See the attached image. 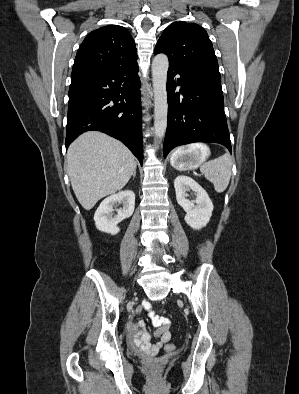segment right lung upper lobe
I'll return each instance as SVG.
<instances>
[{"label":"right lung upper lobe","mask_w":299,"mask_h":394,"mask_svg":"<svg viewBox=\"0 0 299 394\" xmlns=\"http://www.w3.org/2000/svg\"><path fill=\"white\" fill-rule=\"evenodd\" d=\"M137 50L122 26L108 25L92 31L77 52L72 77L137 63Z\"/></svg>","instance_id":"1"}]
</instances>
